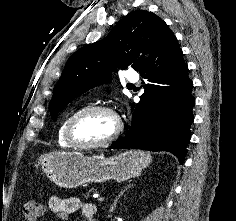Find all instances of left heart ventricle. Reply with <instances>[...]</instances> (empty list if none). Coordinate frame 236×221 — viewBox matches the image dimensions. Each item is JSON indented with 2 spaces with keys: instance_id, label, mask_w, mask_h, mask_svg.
Masks as SVG:
<instances>
[{
  "instance_id": "obj_1",
  "label": "left heart ventricle",
  "mask_w": 236,
  "mask_h": 221,
  "mask_svg": "<svg viewBox=\"0 0 236 221\" xmlns=\"http://www.w3.org/2000/svg\"><path fill=\"white\" fill-rule=\"evenodd\" d=\"M116 130L115 119L104 112L89 114L74 127V137L82 143H96L110 138Z\"/></svg>"
}]
</instances>
